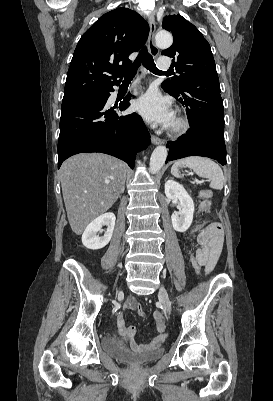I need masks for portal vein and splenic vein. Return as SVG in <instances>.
Listing matches in <instances>:
<instances>
[{
    "instance_id": "1",
    "label": "portal vein and splenic vein",
    "mask_w": 273,
    "mask_h": 401,
    "mask_svg": "<svg viewBox=\"0 0 273 401\" xmlns=\"http://www.w3.org/2000/svg\"><path fill=\"white\" fill-rule=\"evenodd\" d=\"M189 174H193V172H189ZM195 182H200V180H198V178H194Z\"/></svg>"
}]
</instances>
